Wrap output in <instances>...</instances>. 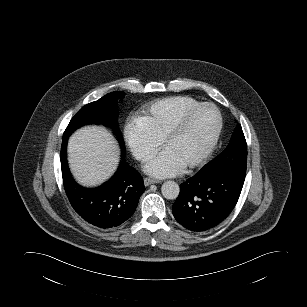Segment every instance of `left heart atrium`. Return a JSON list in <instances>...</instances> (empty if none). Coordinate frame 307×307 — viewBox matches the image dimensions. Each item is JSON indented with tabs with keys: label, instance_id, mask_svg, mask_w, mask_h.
Returning <instances> with one entry per match:
<instances>
[{
	"label": "left heart atrium",
	"instance_id": "obj_1",
	"mask_svg": "<svg viewBox=\"0 0 307 307\" xmlns=\"http://www.w3.org/2000/svg\"><path fill=\"white\" fill-rule=\"evenodd\" d=\"M184 164L168 149L153 156L144 166L145 171L155 177H171L182 172Z\"/></svg>",
	"mask_w": 307,
	"mask_h": 307
}]
</instances>
